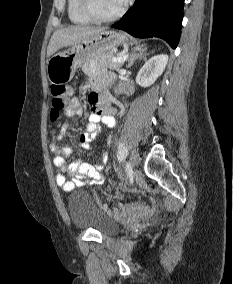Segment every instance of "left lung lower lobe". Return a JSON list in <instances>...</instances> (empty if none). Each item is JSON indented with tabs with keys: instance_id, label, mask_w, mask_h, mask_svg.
Listing matches in <instances>:
<instances>
[{
	"instance_id": "left-lung-lower-lobe-1",
	"label": "left lung lower lobe",
	"mask_w": 233,
	"mask_h": 284,
	"mask_svg": "<svg viewBox=\"0 0 233 284\" xmlns=\"http://www.w3.org/2000/svg\"><path fill=\"white\" fill-rule=\"evenodd\" d=\"M183 3L184 0H135L112 27L135 37H159L175 49L181 33Z\"/></svg>"
}]
</instances>
